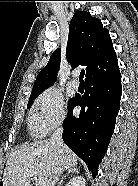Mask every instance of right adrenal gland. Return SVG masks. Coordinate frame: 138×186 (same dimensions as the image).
I'll return each instance as SVG.
<instances>
[{"label": "right adrenal gland", "mask_w": 138, "mask_h": 186, "mask_svg": "<svg viewBox=\"0 0 138 186\" xmlns=\"http://www.w3.org/2000/svg\"><path fill=\"white\" fill-rule=\"evenodd\" d=\"M78 173H79V172H78L77 167H72V168L68 169L67 173H66V174L62 177V179L60 180L58 186H61V184L63 183L64 179H65L66 177H68L69 175L78 174Z\"/></svg>", "instance_id": "1"}]
</instances>
